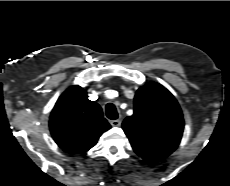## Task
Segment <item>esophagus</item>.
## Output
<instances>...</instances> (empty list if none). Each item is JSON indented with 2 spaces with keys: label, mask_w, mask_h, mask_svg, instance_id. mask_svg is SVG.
Here are the masks:
<instances>
[{
  "label": "esophagus",
  "mask_w": 230,
  "mask_h": 186,
  "mask_svg": "<svg viewBox=\"0 0 230 186\" xmlns=\"http://www.w3.org/2000/svg\"><path fill=\"white\" fill-rule=\"evenodd\" d=\"M110 124L113 126V127H119L121 125V121L119 119H116V120H112L110 122Z\"/></svg>",
  "instance_id": "1"
}]
</instances>
